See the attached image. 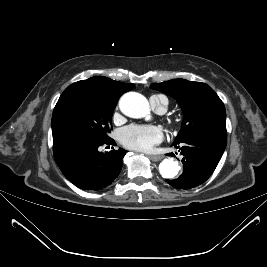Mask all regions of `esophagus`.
<instances>
[{
  "instance_id": "1",
  "label": "esophagus",
  "mask_w": 267,
  "mask_h": 267,
  "mask_svg": "<svg viewBox=\"0 0 267 267\" xmlns=\"http://www.w3.org/2000/svg\"><path fill=\"white\" fill-rule=\"evenodd\" d=\"M149 158L154 161V162H157V161H160L163 156L162 155H149Z\"/></svg>"
}]
</instances>
